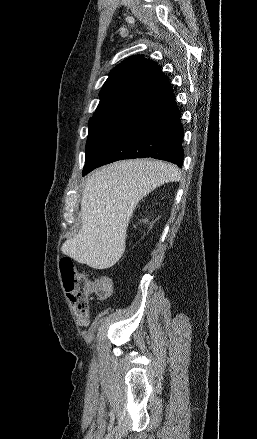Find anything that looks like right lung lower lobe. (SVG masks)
<instances>
[{
    "label": "right lung lower lobe",
    "mask_w": 257,
    "mask_h": 439,
    "mask_svg": "<svg viewBox=\"0 0 257 439\" xmlns=\"http://www.w3.org/2000/svg\"><path fill=\"white\" fill-rule=\"evenodd\" d=\"M183 129L173 93L126 119L90 158L83 176L122 159L152 157L183 165Z\"/></svg>",
    "instance_id": "98d812e1"
}]
</instances>
